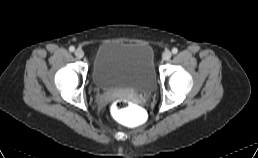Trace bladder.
I'll use <instances>...</instances> for the list:
<instances>
[{"label": "bladder", "instance_id": "obj_1", "mask_svg": "<svg viewBox=\"0 0 258 158\" xmlns=\"http://www.w3.org/2000/svg\"><path fill=\"white\" fill-rule=\"evenodd\" d=\"M92 80L102 90L152 92L156 85L152 47L147 43H102L93 59Z\"/></svg>", "mask_w": 258, "mask_h": 158}]
</instances>
